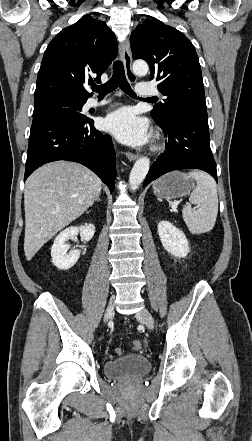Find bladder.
Listing matches in <instances>:
<instances>
[{
  "mask_svg": "<svg viewBox=\"0 0 252 441\" xmlns=\"http://www.w3.org/2000/svg\"><path fill=\"white\" fill-rule=\"evenodd\" d=\"M151 369L150 360L139 354H131L110 360L104 364L107 377L116 380L137 379L146 375Z\"/></svg>",
  "mask_w": 252,
  "mask_h": 441,
  "instance_id": "obj_1",
  "label": "bladder"
}]
</instances>
